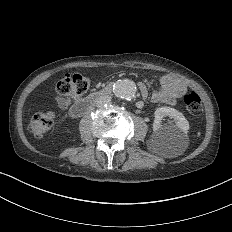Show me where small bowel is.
Here are the masks:
<instances>
[{
    "label": "small bowel",
    "mask_w": 232,
    "mask_h": 232,
    "mask_svg": "<svg viewBox=\"0 0 232 232\" xmlns=\"http://www.w3.org/2000/svg\"><path fill=\"white\" fill-rule=\"evenodd\" d=\"M159 86L160 90L152 94L151 101L153 103H175L187 90L186 83L173 75L163 76L159 81ZM148 93V87L145 84H140L139 94L145 98Z\"/></svg>",
    "instance_id": "obj_1"
}]
</instances>
